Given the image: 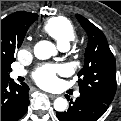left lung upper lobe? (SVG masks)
Wrapping results in <instances>:
<instances>
[{
  "label": "left lung upper lobe",
  "mask_w": 121,
  "mask_h": 121,
  "mask_svg": "<svg viewBox=\"0 0 121 121\" xmlns=\"http://www.w3.org/2000/svg\"><path fill=\"white\" fill-rule=\"evenodd\" d=\"M76 18L89 37L85 63L78 73L81 95L110 105L116 92V61L103 32L83 16Z\"/></svg>",
  "instance_id": "5c2ea615"
}]
</instances>
